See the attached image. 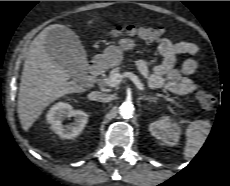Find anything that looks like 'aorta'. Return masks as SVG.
I'll use <instances>...</instances> for the list:
<instances>
[{
  "label": "aorta",
  "instance_id": "aorta-1",
  "mask_svg": "<svg viewBox=\"0 0 230 186\" xmlns=\"http://www.w3.org/2000/svg\"><path fill=\"white\" fill-rule=\"evenodd\" d=\"M119 113L121 117L129 119L132 117L134 113V107L132 104L125 102L120 106Z\"/></svg>",
  "mask_w": 230,
  "mask_h": 186
}]
</instances>
